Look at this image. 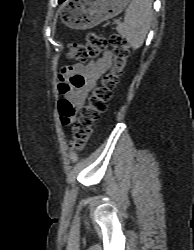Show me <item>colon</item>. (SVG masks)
I'll return each instance as SVG.
<instances>
[{"instance_id": "obj_1", "label": "colon", "mask_w": 194, "mask_h": 250, "mask_svg": "<svg viewBox=\"0 0 194 250\" xmlns=\"http://www.w3.org/2000/svg\"><path fill=\"white\" fill-rule=\"evenodd\" d=\"M112 46L113 64L110 70L103 76L99 85H97L89 97L88 104L81 107L78 120L73 127V137L71 148L80 150L90 138L94 123L99 116L107 110L108 101L112 97L119 77L126 65L129 55V42L120 35L106 37L97 32H89L84 42L71 43L69 47V56L84 63L95 58L107 48ZM68 113H72V108H67Z\"/></svg>"}]
</instances>
